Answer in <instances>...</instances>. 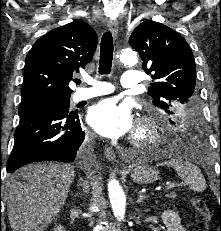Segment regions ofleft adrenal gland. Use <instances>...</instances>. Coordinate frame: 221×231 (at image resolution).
Wrapping results in <instances>:
<instances>
[{"label": "left adrenal gland", "mask_w": 221, "mask_h": 231, "mask_svg": "<svg viewBox=\"0 0 221 231\" xmlns=\"http://www.w3.org/2000/svg\"><path fill=\"white\" fill-rule=\"evenodd\" d=\"M147 198V196L143 195L141 191L138 192V199H137V203L140 204L141 202H143V200H145Z\"/></svg>", "instance_id": "a2214340"}]
</instances>
